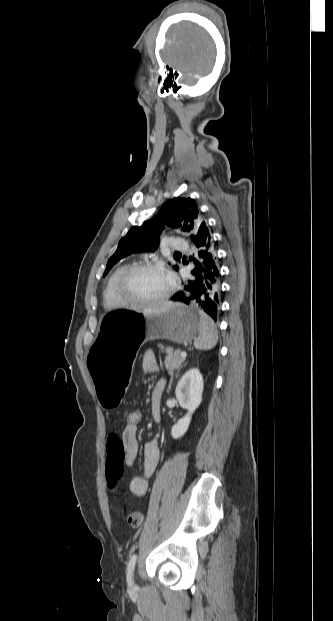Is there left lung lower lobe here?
I'll use <instances>...</instances> for the list:
<instances>
[{"label": "left lung lower lobe", "mask_w": 333, "mask_h": 621, "mask_svg": "<svg viewBox=\"0 0 333 621\" xmlns=\"http://www.w3.org/2000/svg\"><path fill=\"white\" fill-rule=\"evenodd\" d=\"M198 249V261L192 274L195 280H189L184 291L172 297L173 301L189 304L195 301L198 306L214 320L220 309L221 283L217 253L214 249L208 225L203 226L193 240Z\"/></svg>", "instance_id": "left-lung-lower-lobe-1"}]
</instances>
